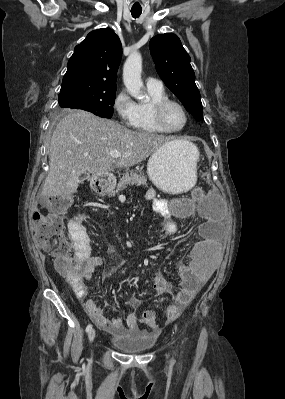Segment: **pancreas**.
<instances>
[{
    "instance_id": "obj_1",
    "label": "pancreas",
    "mask_w": 285,
    "mask_h": 399,
    "mask_svg": "<svg viewBox=\"0 0 285 399\" xmlns=\"http://www.w3.org/2000/svg\"><path fill=\"white\" fill-rule=\"evenodd\" d=\"M143 185L147 187V178L138 174L135 171L127 172L117 183L111 185L110 190L107 192L108 196L113 197L119 191L125 189L128 185Z\"/></svg>"
}]
</instances>
